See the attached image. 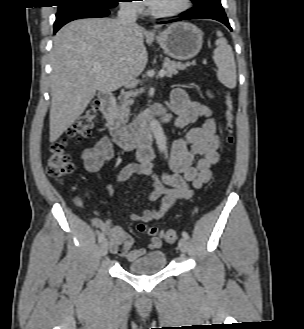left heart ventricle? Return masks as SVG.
<instances>
[{"label":"left heart ventricle","mask_w":304,"mask_h":329,"mask_svg":"<svg viewBox=\"0 0 304 329\" xmlns=\"http://www.w3.org/2000/svg\"><path fill=\"white\" fill-rule=\"evenodd\" d=\"M182 0H154L150 7L157 11H164L176 8Z\"/></svg>","instance_id":"left-heart-ventricle-1"}]
</instances>
